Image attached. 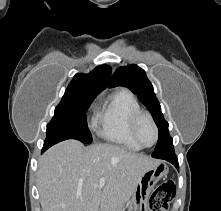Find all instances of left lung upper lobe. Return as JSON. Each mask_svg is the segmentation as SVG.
I'll return each instance as SVG.
<instances>
[{"label":"left lung upper lobe","mask_w":221,"mask_h":211,"mask_svg":"<svg viewBox=\"0 0 221 211\" xmlns=\"http://www.w3.org/2000/svg\"><path fill=\"white\" fill-rule=\"evenodd\" d=\"M126 86L135 93L150 111L159 131L157 145L152 153L154 158L173 155V139L169 135L168 122L164 119L161 106L143 69L136 65L118 68L111 80V87Z\"/></svg>","instance_id":"left-lung-upper-lobe-1"}]
</instances>
